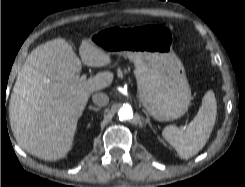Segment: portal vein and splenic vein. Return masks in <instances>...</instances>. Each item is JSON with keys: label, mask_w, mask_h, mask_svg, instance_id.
<instances>
[{"label": "portal vein and splenic vein", "mask_w": 245, "mask_h": 187, "mask_svg": "<svg viewBox=\"0 0 245 187\" xmlns=\"http://www.w3.org/2000/svg\"><path fill=\"white\" fill-rule=\"evenodd\" d=\"M81 78H82V79H85V78H86V75H83ZM182 129H184V128H182Z\"/></svg>", "instance_id": "18ae733b"}]
</instances>
